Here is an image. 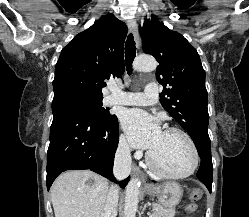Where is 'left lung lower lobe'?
I'll return each mask as SVG.
<instances>
[{"label": "left lung lower lobe", "mask_w": 249, "mask_h": 217, "mask_svg": "<svg viewBox=\"0 0 249 217\" xmlns=\"http://www.w3.org/2000/svg\"><path fill=\"white\" fill-rule=\"evenodd\" d=\"M200 157H201V165L197 173V177L200 181H202L205 184V186L211 193L212 174H213L211 153H203Z\"/></svg>", "instance_id": "1"}]
</instances>
